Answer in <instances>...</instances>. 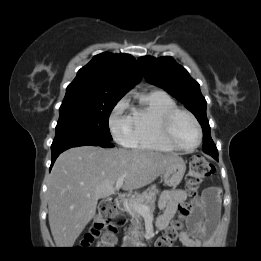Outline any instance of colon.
Instances as JSON below:
<instances>
[{
  "mask_svg": "<svg viewBox=\"0 0 261 261\" xmlns=\"http://www.w3.org/2000/svg\"><path fill=\"white\" fill-rule=\"evenodd\" d=\"M213 173V166L205 160L202 156L195 155L190 160L189 171L186 176V186L190 194H195L201 183ZM181 213L186 216L188 210L181 209ZM116 206L111 199H105L100 203L98 216L95 220L94 226L87 239L83 241L82 246L88 247L96 244L99 247L107 248L114 244L115 237L112 231L102 235V230L110 226L112 222L116 221ZM177 230L175 228L169 229L166 234L161 237L156 245L159 247H167L177 239Z\"/></svg>",
  "mask_w": 261,
  "mask_h": 261,
  "instance_id": "1",
  "label": "colon"
}]
</instances>
